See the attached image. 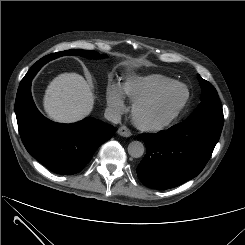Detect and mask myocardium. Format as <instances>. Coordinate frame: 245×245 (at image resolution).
Wrapping results in <instances>:
<instances>
[{
  "instance_id": "f54148a6",
  "label": "myocardium",
  "mask_w": 245,
  "mask_h": 245,
  "mask_svg": "<svg viewBox=\"0 0 245 245\" xmlns=\"http://www.w3.org/2000/svg\"><path fill=\"white\" fill-rule=\"evenodd\" d=\"M177 87L183 88L185 91V95H184L183 100L177 107V109L170 116H168L166 119L162 121L154 122V123L147 122L142 118L141 113L146 106L154 102H157L158 100L163 98L169 91ZM189 101H190L189 88L184 83L173 82L150 95L144 96L136 100L133 103L132 111H131L133 122L139 129L143 131H147V132L162 131L170 127L180 118V116L183 114V112L187 108Z\"/></svg>"
}]
</instances>
